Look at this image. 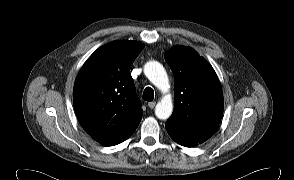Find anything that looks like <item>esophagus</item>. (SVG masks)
<instances>
[{
    "label": "esophagus",
    "instance_id": "34e87169",
    "mask_svg": "<svg viewBox=\"0 0 294 180\" xmlns=\"http://www.w3.org/2000/svg\"><path fill=\"white\" fill-rule=\"evenodd\" d=\"M155 105H156V102L155 101H151V102L148 103V107L150 109H153L155 107Z\"/></svg>",
    "mask_w": 294,
    "mask_h": 180
}]
</instances>
